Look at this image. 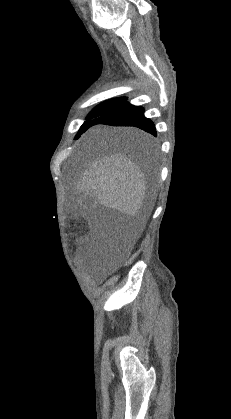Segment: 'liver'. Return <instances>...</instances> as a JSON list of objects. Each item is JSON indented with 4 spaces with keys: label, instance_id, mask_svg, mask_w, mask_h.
Listing matches in <instances>:
<instances>
[{
    "label": "liver",
    "instance_id": "obj_1",
    "mask_svg": "<svg viewBox=\"0 0 231 419\" xmlns=\"http://www.w3.org/2000/svg\"><path fill=\"white\" fill-rule=\"evenodd\" d=\"M113 132L124 139L152 142L149 135L136 128H118ZM77 189L105 207L136 215L143 207L146 181L141 168L129 156L118 152L94 160L77 183Z\"/></svg>",
    "mask_w": 231,
    "mask_h": 419
}]
</instances>
